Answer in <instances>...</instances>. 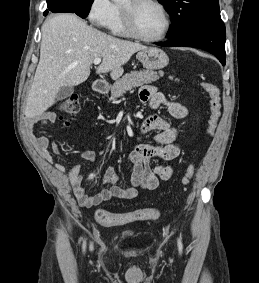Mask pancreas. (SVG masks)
Returning a JSON list of instances; mask_svg holds the SVG:
<instances>
[{
    "label": "pancreas",
    "mask_w": 259,
    "mask_h": 283,
    "mask_svg": "<svg viewBox=\"0 0 259 283\" xmlns=\"http://www.w3.org/2000/svg\"><path fill=\"white\" fill-rule=\"evenodd\" d=\"M162 76V72L157 73L152 70L131 71L113 84L111 87V100H116L132 88L152 83ZM170 79L173 78L170 77Z\"/></svg>",
    "instance_id": "obj_1"
}]
</instances>
